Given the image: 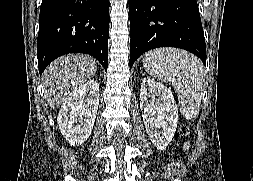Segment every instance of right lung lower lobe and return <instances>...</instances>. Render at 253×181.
<instances>
[{
    "label": "right lung lower lobe",
    "instance_id": "98d812e1",
    "mask_svg": "<svg viewBox=\"0 0 253 181\" xmlns=\"http://www.w3.org/2000/svg\"><path fill=\"white\" fill-rule=\"evenodd\" d=\"M109 0H42L37 58L39 72L68 53L95 57L107 71Z\"/></svg>",
    "mask_w": 253,
    "mask_h": 181
}]
</instances>
